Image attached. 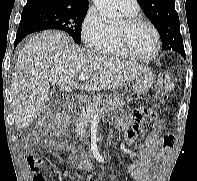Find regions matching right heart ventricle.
<instances>
[{
  "label": "right heart ventricle",
  "instance_id": "obj_1",
  "mask_svg": "<svg viewBox=\"0 0 197 181\" xmlns=\"http://www.w3.org/2000/svg\"><path fill=\"white\" fill-rule=\"evenodd\" d=\"M126 16H135L136 13H125ZM110 34L107 43L100 50V53L104 56L112 57H124L125 55L118 48L116 38H115V29L109 28Z\"/></svg>",
  "mask_w": 197,
  "mask_h": 181
}]
</instances>
